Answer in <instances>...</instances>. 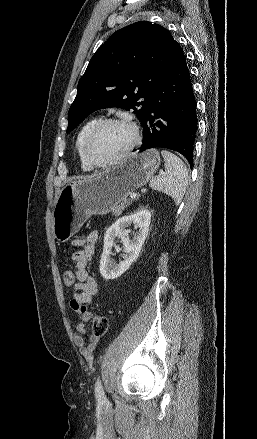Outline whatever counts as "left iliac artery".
<instances>
[{"instance_id": "obj_1", "label": "left iliac artery", "mask_w": 257, "mask_h": 439, "mask_svg": "<svg viewBox=\"0 0 257 439\" xmlns=\"http://www.w3.org/2000/svg\"><path fill=\"white\" fill-rule=\"evenodd\" d=\"M95 395L98 401L103 402L106 400L104 390L101 384V380L98 378L95 382Z\"/></svg>"}]
</instances>
